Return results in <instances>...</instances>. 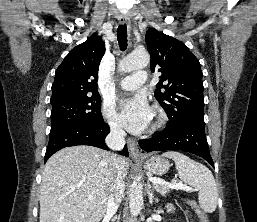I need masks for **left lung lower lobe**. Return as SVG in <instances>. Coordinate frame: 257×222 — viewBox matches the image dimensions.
Returning <instances> with one entry per match:
<instances>
[{
	"label": "left lung lower lobe",
	"instance_id": "1",
	"mask_svg": "<svg viewBox=\"0 0 257 222\" xmlns=\"http://www.w3.org/2000/svg\"><path fill=\"white\" fill-rule=\"evenodd\" d=\"M143 151L182 150L198 155L214 167L205 135L203 120H185L166 128L150 139L139 141Z\"/></svg>",
	"mask_w": 257,
	"mask_h": 222
}]
</instances>
